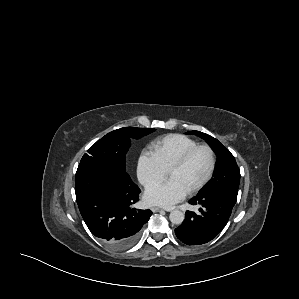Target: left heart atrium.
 <instances>
[{"mask_svg": "<svg viewBox=\"0 0 299 299\" xmlns=\"http://www.w3.org/2000/svg\"><path fill=\"white\" fill-rule=\"evenodd\" d=\"M187 194V190L175 180L156 183L149 186L144 195L148 204L162 207H172L181 201Z\"/></svg>", "mask_w": 299, "mask_h": 299, "instance_id": "left-heart-atrium-1", "label": "left heart atrium"}]
</instances>
